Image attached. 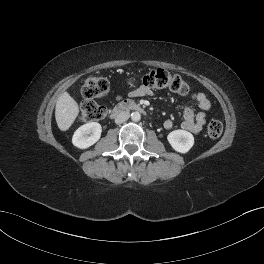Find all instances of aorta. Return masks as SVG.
I'll list each match as a JSON object with an SVG mask.
<instances>
[{"label":"aorta","instance_id":"762f6f07","mask_svg":"<svg viewBox=\"0 0 264 264\" xmlns=\"http://www.w3.org/2000/svg\"><path fill=\"white\" fill-rule=\"evenodd\" d=\"M131 119H132V121H134V122H138V121H140V119H141V115H140V113L137 112V111L132 112V114H131Z\"/></svg>","mask_w":264,"mask_h":264}]
</instances>
